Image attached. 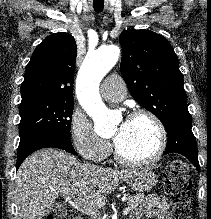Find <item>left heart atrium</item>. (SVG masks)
<instances>
[{
    "instance_id": "obj_1",
    "label": "left heart atrium",
    "mask_w": 211,
    "mask_h": 219,
    "mask_svg": "<svg viewBox=\"0 0 211 219\" xmlns=\"http://www.w3.org/2000/svg\"><path fill=\"white\" fill-rule=\"evenodd\" d=\"M124 127H125V123L122 124L121 130H123ZM114 141H115V144H116V143L119 141V136H117V137L114 139Z\"/></svg>"
}]
</instances>
